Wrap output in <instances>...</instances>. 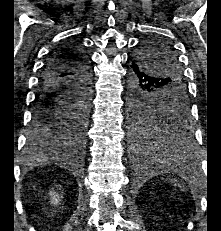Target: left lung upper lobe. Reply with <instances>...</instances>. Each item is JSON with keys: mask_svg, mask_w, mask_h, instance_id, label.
I'll return each instance as SVG.
<instances>
[{"mask_svg": "<svg viewBox=\"0 0 221 231\" xmlns=\"http://www.w3.org/2000/svg\"><path fill=\"white\" fill-rule=\"evenodd\" d=\"M136 61L162 83L158 92L148 95L147 105L140 114L129 117L136 138L144 140L167 126L185 121L188 123L187 86L182 79L174 48L160 37L146 38L136 55Z\"/></svg>", "mask_w": 221, "mask_h": 231, "instance_id": "5c2ea615", "label": "left lung upper lobe"}]
</instances>
